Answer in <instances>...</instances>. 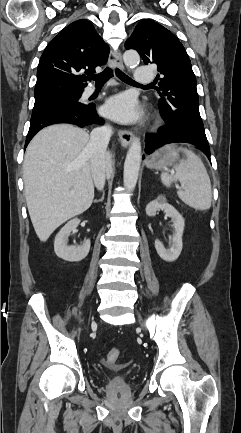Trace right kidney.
I'll list each match as a JSON object with an SVG mask.
<instances>
[{
    "mask_svg": "<svg viewBox=\"0 0 241 433\" xmlns=\"http://www.w3.org/2000/svg\"><path fill=\"white\" fill-rule=\"evenodd\" d=\"M80 223V219L74 218L70 220L57 234L54 242L55 254L69 262H78L83 260L89 253L90 240H85L81 246H68L67 239L71 232L75 231Z\"/></svg>",
    "mask_w": 241,
    "mask_h": 433,
    "instance_id": "1",
    "label": "right kidney"
}]
</instances>
